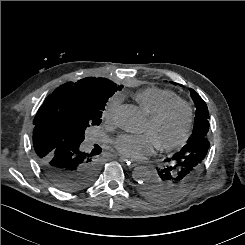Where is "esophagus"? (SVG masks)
I'll use <instances>...</instances> for the list:
<instances>
[{
  "mask_svg": "<svg viewBox=\"0 0 245 245\" xmlns=\"http://www.w3.org/2000/svg\"><path fill=\"white\" fill-rule=\"evenodd\" d=\"M119 160L121 162H124L125 166L128 167L129 169L133 168L136 166V163H134L132 160L125 158L123 156H120Z\"/></svg>",
  "mask_w": 245,
  "mask_h": 245,
  "instance_id": "1",
  "label": "esophagus"
}]
</instances>
